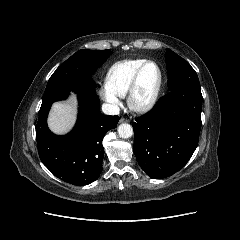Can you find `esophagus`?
Segmentation results:
<instances>
[{
  "mask_svg": "<svg viewBox=\"0 0 240 240\" xmlns=\"http://www.w3.org/2000/svg\"><path fill=\"white\" fill-rule=\"evenodd\" d=\"M119 122L120 123L129 122V119L122 117Z\"/></svg>",
  "mask_w": 240,
  "mask_h": 240,
  "instance_id": "obj_1",
  "label": "esophagus"
}]
</instances>
